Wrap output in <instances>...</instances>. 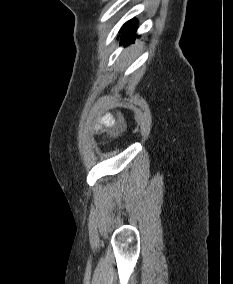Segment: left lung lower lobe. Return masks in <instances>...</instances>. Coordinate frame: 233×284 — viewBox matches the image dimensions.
I'll list each match as a JSON object with an SVG mask.
<instances>
[{
	"label": "left lung lower lobe",
	"instance_id": "0a47b994",
	"mask_svg": "<svg viewBox=\"0 0 233 284\" xmlns=\"http://www.w3.org/2000/svg\"><path fill=\"white\" fill-rule=\"evenodd\" d=\"M122 35L121 44L133 42L136 32V23L134 20L126 22L119 31Z\"/></svg>",
	"mask_w": 233,
	"mask_h": 284
}]
</instances>
